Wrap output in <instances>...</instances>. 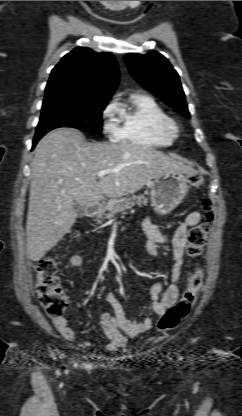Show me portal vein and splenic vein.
Returning <instances> with one entry per match:
<instances>
[{
	"mask_svg": "<svg viewBox=\"0 0 242 416\" xmlns=\"http://www.w3.org/2000/svg\"><path fill=\"white\" fill-rule=\"evenodd\" d=\"M110 172H112V170H109V169H107V170H101V171H99L98 173H97V176L99 177V178H102V177H104L105 175H107L108 173H110Z\"/></svg>",
	"mask_w": 242,
	"mask_h": 416,
	"instance_id": "portal-vein-and-splenic-vein-1",
	"label": "portal vein and splenic vein"
}]
</instances>
